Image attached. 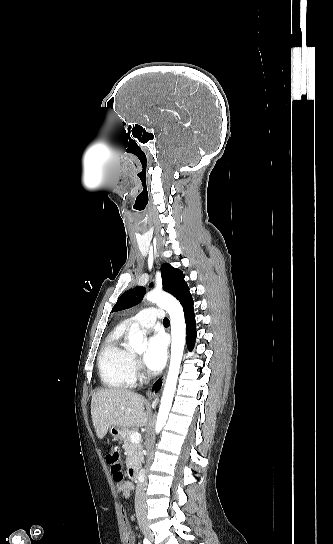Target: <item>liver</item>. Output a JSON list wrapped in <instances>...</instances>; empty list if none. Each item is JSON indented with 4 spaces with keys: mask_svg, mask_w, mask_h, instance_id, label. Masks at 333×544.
<instances>
[{
    "mask_svg": "<svg viewBox=\"0 0 333 544\" xmlns=\"http://www.w3.org/2000/svg\"><path fill=\"white\" fill-rule=\"evenodd\" d=\"M144 398L129 390L100 389L93 393L91 416L97 437L104 438L111 426L143 427L149 422L144 411Z\"/></svg>",
    "mask_w": 333,
    "mask_h": 544,
    "instance_id": "liver-1",
    "label": "liver"
}]
</instances>
